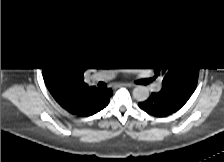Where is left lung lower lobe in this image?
Masks as SVG:
<instances>
[{"mask_svg": "<svg viewBox=\"0 0 224 162\" xmlns=\"http://www.w3.org/2000/svg\"><path fill=\"white\" fill-rule=\"evenodd\" d=\"M189 98L190 96L184 93L160 91L152 93L145 102H140L139 106L151 115L164 117L179 110Z\"/></svg>", "mask_w": 224, "mask_h": 162, "instance_id": "0a47b994", "label": "left lung lower lobe"}]
</instances>
